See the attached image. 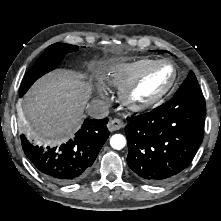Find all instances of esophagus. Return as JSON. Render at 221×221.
Here are the masks:
<instances>
[{
	"instance_id": "esophagus-1",
	"label": "esophagus",
	"mask_w": 221,
	"mask_h": 221,
	"mask_svg": "<svg viewBox=\"0 0 221 221\" xmlns=\"http://www.w3.org/2000/svg\"><path fill=\"white\" fill-rule=\"evenodd\" d=\"M107 127L111 132L116 131L124 127V122L120 119L115 118L109 121Z\"/></svg>"
}]
</instances>
